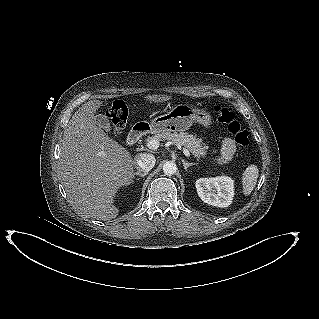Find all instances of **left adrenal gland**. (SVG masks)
<instances>
[{
	"mask_svg": "<svg viewBox=\"0 0 319 319\" xmlns=\"http://www.w3.org/2000/svg\"><path fill=\"white\" fill-rule=\"evenodd\" d=\"M182 163H183L184 169H185L186 171H187L188 167L193 166V165H198V163H189V162H186L184 159H182Z\"/></svg>",
	"mask_w": 319,
	"mask_h": 319,
	"instance_id": "left-adrenal-gland-1",
	"label": "left adrenal gland"
}]
</instances>
